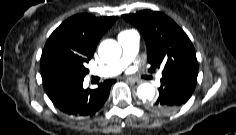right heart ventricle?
Returning <instances> with one entry per match:
<instances>
[{"instance_id":"1","label":"right heart ventricle","mask_w":236,"mask_h":135,"mask_svg":"<svg viewBox=\"0 0 236 135\" xmlns=\"http://www.w3.org/2000/svg\"><path fill=\"white\" fill-rule=\"evenodd\" d=\"M128 32H132V31L126 30V31H123V32H121V33H128Z\"/></svg>"}]
</instances>
